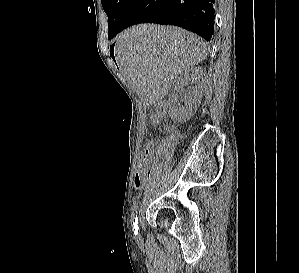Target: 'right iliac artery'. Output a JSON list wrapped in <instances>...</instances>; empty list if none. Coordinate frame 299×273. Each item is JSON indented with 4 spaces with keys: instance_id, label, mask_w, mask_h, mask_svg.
Segmentation results:
<instances>
[{
    "instance_id": "obj_1",
    "label": "right iliac artery",
    "mask_w": 299,
    "mask_h": 273,
    "mask_svg": "<svg viewBox=\"0 0 299 273\" xmlns=\"http://www.w3.org/2000/svg\"><path fill=\"white\" fill-rule=\"evenodd\" d=\"M137 204H134L132 207V213H131V222L134 229V234H138V218H137Z\"/></svg>"
}]
</instances>
